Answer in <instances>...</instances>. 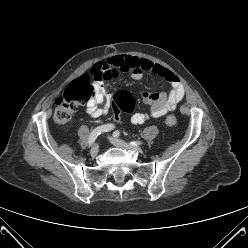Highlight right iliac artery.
Returning a JSON list of instances; mask_svg holds the SVG:
<instances>
[{"mask_svg": "<svg viewBox=\"0 0 248 248\" xmlns=\"http://www.w3.org/2000/svg\"><path fill=\"white\" fill-rule=\"evenodd\" d=\"M114 125L113 124H105V125H102V126H99L97 128H95L91 133H90V136L88 138V144L91 146L96 138L104 133V132H108V131H111L112 129H114Z\"/></svg>", "mask_w": 248, "mask_h": 248, "instance_id": "82829eb1", "label": "right iliac artery"}]
</instances>
